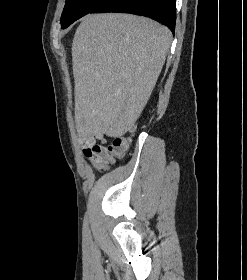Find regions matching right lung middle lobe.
Listing matches in <instances>:
<instances>
[{"instance_id": "right-lung-middle-lobe-1", "label": "right lung middle lobe", "mask_w": 247, "mask_h": 280, "mask_svg": "<svg viewBox=\"0 0 247 280\" xmlns=\"http://www.w3.org/2000/svg\"><path fill=\"white\" fill-rule=\"evenodd\" d=\"M103 0H66L61 16L62 28H67L77 19L91 13Z\"/></svg>"}]
</instances>
